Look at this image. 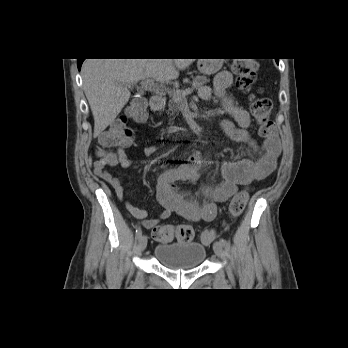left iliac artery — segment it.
<instances>
[{
	"label": "left iliac artery",
	"instance_id": "1",
	"mask_svg": "<svg viewBox=\"0 0 348 348\" xmlns=\"http://www.w3.org/2000/svg\"><path fill=\"white\" fill-rule=\"evenodd\" d=\"M219 242L222 244V246H227V242L225 239L221 238Z\"/></svg>",
	"mask_w": 348,
	"mask_h": 348
}]
</instances>
